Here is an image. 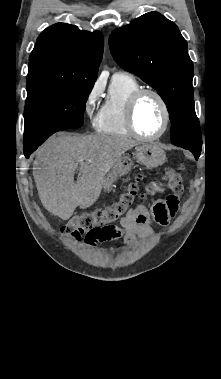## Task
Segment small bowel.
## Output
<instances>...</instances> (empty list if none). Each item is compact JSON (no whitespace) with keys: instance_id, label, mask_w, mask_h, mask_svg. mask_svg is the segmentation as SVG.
Returning a JSON list of instances; mask_svg holds the SVG:
<instances>
[{"instance_id":"small-bowel-1","label":"small bowel","mask_w":221,"mask_h":379,"mask_svg":"<svg viewBox=\"0 0 221 379\" xmlns=\"http://www.w3.org/2000/svg\"><path fill=\"white\" fill-rule=\"evenodd\" d=\"M147 190L154 193L160 188L157 184H151ZM164 195L165 199L157 198L150 211L144 204H140L134 210H129L121 219L120 226H114L105 234L88 235L85 242L94 245L98 241L124 238L127 245L135 246L138 238L146 239L152 236L154 228L151 225V217L160 225H168L178 209V197H181L182 192L165 190Z\"/></svg>"}]
</instances>
